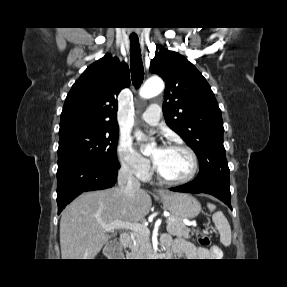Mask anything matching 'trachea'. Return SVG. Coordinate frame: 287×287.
<instances>
[{
    "mask_svg": "<svg viewBox=\"0 0 287 287\" xmlns=\"http://www.w3.org/2000/svg\"><path fill=\"white\" fill-rule=\"evenodd\" d=\"M130 68L133 85L138 88L144 79V68L137 36L130 37Z\"/></svg>",
    "mask_w": 287,
    "mask_h": 287,
    "instance_id": "trachea-1",
    "label": "trachea"
}]
</instances>
